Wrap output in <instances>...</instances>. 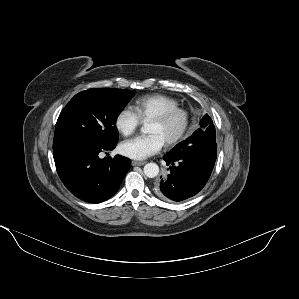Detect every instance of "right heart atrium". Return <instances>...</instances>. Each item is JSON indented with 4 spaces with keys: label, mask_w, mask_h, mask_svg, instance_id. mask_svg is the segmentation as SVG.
<instances>
[{
    "label": "right heart atrium",
    "mask_w": 299,
    "mask_h": 299,
    "mask_svg": "<svg viewBox=\"0 0 299 299\" xmlns=\"http://www.w3.org/2000/svg\"><path fill=\"white\" fill-rule=\"evenodd\" d=\"M139 124V117L130 107L121 108L114 119V127L116 131L123 136L133 134Z\"/></svg>",
    "instance_id": "obj_1"
}]
</instances>
